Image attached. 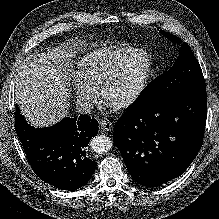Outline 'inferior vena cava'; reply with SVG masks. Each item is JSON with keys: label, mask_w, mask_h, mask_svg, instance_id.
<instances>
[{"label": "inferior vena cava", "mask_w": 219, "mask_h": 219, "mask_svg": "<svg viewBox=\"0 0 219 219\" xmlns=\"http://www.w3.org/2000/svg\"><path fill=\"white\" fill-rule=\"evenodd\" d=\"M93 104L86 100H78L76 102V110L78 113L87 115L90 114L93 109Z\"/></svg>", "instance_id": "602c4592"}]
</instances>
